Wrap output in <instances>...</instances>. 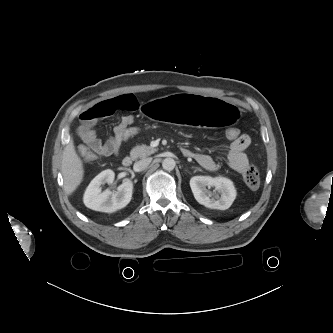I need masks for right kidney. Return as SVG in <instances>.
<instances>
[{"mask_svg": "<svg viewBox=\"0 0 333 333\" xmlns=\"http://www.w3.org/2000/svg\"><path fill=\"white\" fill-rule=\"evenodd\" d=\"M114 175L112 170L107 169L90 182L83 197L86 207L95 211L112 213L128 205L133 191V183L130 180L122 183L115 192L108 189L101 192V185L112 183Z\"/></svg>", "mask_w": 333, "mask_h": 333, "instance_id": "right-kidney-1", "label": "right kidney"}]
</instances>
